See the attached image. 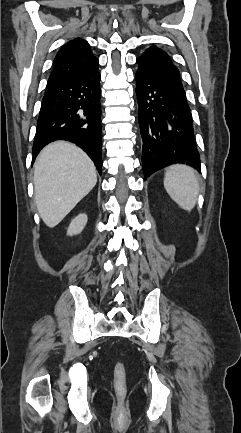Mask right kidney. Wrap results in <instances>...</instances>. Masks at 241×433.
Wrapping results in <instances>:
<instances>
[{
  "instance_id": "ca27d5eb",
  "label": "right kidney",
  "mask_w": 241,
  "mask_h": 433,
  "mask_svg": "<svg viewBox=\"0 0 241 433\" xmlns=\"http://www.w3.org/2000/svg\"><path fill=\"white\" fill-rule=\"evenodd\" d=\"M88 221L87 215L85 213L79 214L78 216H76L70 223L68 230H67V235L72 236V235H77L79 233L82 232V230L84 229V227L86 226Z\"/></svg>"
}]
</instances>
